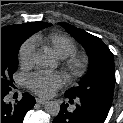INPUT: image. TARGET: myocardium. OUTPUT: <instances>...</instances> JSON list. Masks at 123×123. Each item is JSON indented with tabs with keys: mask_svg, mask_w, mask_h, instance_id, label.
I'll use <instances>...</instances> for the list:
<instances>
[{
	"mask_svg": "<svg viewBox=\"0 0 123 123\" xmlns=\"http://www.w3.org/2000/svg\"><path fill=\"white\" fill-rule=\"evenodd\" d=\"M64 66L72 76L80 77L87 70V61L82 56L73 54L64 60Z\"/></svg>",
	"mask_w": 123,
	"mask_h": 123,
	"instance_id": "myocardium-1",
	"label": "myocardium"
}]
</instances>
